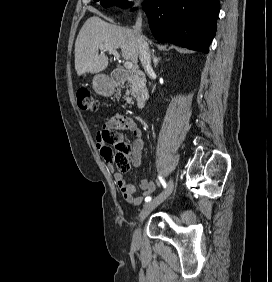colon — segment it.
I'll use <instances>...</instances> for the list:
<instances>
[{"mask_svg": "<svg viewBox=\"0 0 272 282\" xmlns=\"http://www.w3.org/2000/svg\"><path fill=\"white\" fill-rule=\"evenodd\" d=\"M77 105L82 110H97L99 102L90 89L81 88L77 91ZM101 155L108 163H114L120 173L129 170L128 154L130 146L117 132L104 128L100 131Z\"/></svg>", "mask_w": 272, "mask_h": 282, "instance_id": "colon-1", "label": "colon"}]
</instances>
